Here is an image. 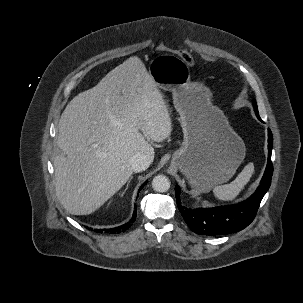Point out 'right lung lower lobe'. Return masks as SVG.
<instances>
[{
  "label": "right lung lower lobe",
  "mask_w": 303,
  "mask_h": 303,
  "mask_svg": "<svg viewBox=\"0 0 303 303\" xmlns=\"http://www.w3.org/2000/svg\"><path fill=\"white\" fill-rule=\"evenodd\" d=\"M147 182H145L139 189V191L142 189V187L146 184ZM136 218V210L133 213V217L131 218V220L129 222H127L126 224H123L122 226L116 227V228H112V229H95V232H100L102 233L103 231L105 233H120V232H124L125 230L129 229L132 225V223L135 221ZM89 229V228H88ZM92 230V229H91Z\"/></svg>",
  "instance_id": "right-lung-lower-lobe-1"
}]
</instances>
